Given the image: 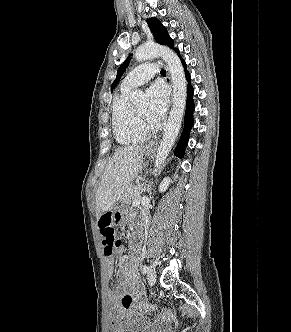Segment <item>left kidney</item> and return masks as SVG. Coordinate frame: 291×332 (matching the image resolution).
Listing matches in <instances>:
<instances>
[{"instance_id":"5707ae66","label":"left kidney","mask_w":291,"mask_h":332,"mask_svg":"<svg viewBox=\"0 0 291 332\" xmlns=\"http://www.w3.org/2000/svg\"><path fill=\"white\" fill-rule=\"evenodd\" d=\"M169 183H170V178L169 177L164 178L163 181L161 182L160 186H159V191L160 192L166 191V189L168 188Z\"/></svg>"}]
</instances>
